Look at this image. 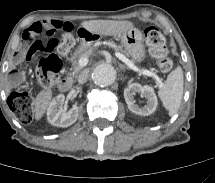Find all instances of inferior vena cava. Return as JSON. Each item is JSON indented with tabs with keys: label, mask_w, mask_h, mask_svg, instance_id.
<instances>
[{
	"label": "inferior vena cava",
	"mask_w": 215,
	"mask_h": 183,
	"mask_svg": "<svg viewBox=\"0 0 215 183\" xmlns=\"http://www.w3.org/2000/svg\"><path fill=\"white\" fill-rule=\"evenodd\" d=\"M87 78H88V72L84 70L78 75V82L80 84H83L87 81Z\"/></svg>",
	"instance_id": "1"
}]
</instances>
